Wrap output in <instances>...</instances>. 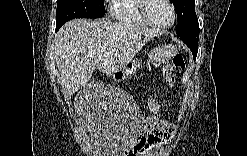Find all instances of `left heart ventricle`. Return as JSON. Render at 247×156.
Wrapping results in <instances>:
<instances>
[{
  "mask_svg": "<svg viewBox=\"0 0 247 156\" xmlns=\"http://www.w3.org/2000/svg\"><path fill=\"white\" fill-rule=\"evenodd\" d=\"M148 16L158 24H167L171 21L172 13L164 0H154L149 3Z\"/></svg>",
  "mask_w": 247,
  "mask_h": 156,
  "instance_id": "obj_1",
  "label": "left heart ventricle"
}]
</instances>
